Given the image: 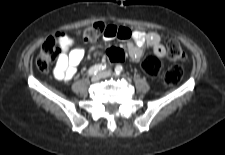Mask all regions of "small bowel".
<instances>
[{
	"label": "small bowel",
	"instance_id": "obj_1",
	"mask_svg": "<svg viewBox=\"0 0 225 155\" xmlns=\"http://www.w3.org/2000/svg\"><path fill=\"white\" fill-rule=\"evenodd\" d=\"M110 30L103 35L105 40L114 38L128 41V52L131 58L140 59L144 46H150L158 59L166 56V49L162 44L161 36L157 32L130 30L126 27L109 25ZM56 43L60 48L54 75L58 80L70 81L77 73V66L84 56V51L75 48L76 37L71 32L61 31L56 36Z\"/></svg>",
	"mask_w": 225,
	"mask_h": 155
}]
</instances>
